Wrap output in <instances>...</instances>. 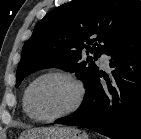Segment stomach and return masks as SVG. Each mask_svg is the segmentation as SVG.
<instances>
[{
	"label": "stomach",
	"mask_w": 141,
	"mask_h": 139,
	"mask_svg": "<svg viewBox=\"0 0 141 139\" xmlns=\"http://www.w3.org/2000/svg\"><path fill=\"white\" fill-rule=\"evenodd\" d=\"M20 139H88V135L70 126L36 128L24 133Z\"/></svg>",
	"instance_id": "1"
}]
</instances>
